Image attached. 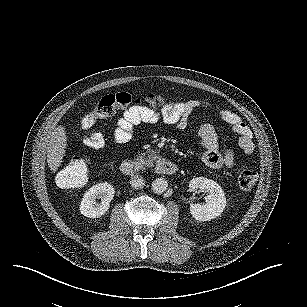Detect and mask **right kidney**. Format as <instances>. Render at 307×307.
Wrapping results in <instances>:
<instances>
[{
    "mask_svg": "<svg viewBox=\"0 0 307 307\" xmlns=\"http://www.w3.org/2000/svg\"><path fill=\"white\" fill-rule=\"evenodd\" d=\"M114 194L113 185L107 182L93 185L83 195L79 206L80 213L88 218H100L108 211ZM96 199H101V202Z\"/></svg>",
    "mask_w": 307,
    "mask_h": 307,
    "instance_id": "obj_1",
    "label": "right kidney"
}]
</instances>
